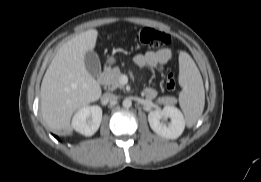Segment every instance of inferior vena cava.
I'll return each mask as SVG.
<instances>
[{
	"mask_svg": "<svg viewBox=\"0 0 261 182\" xmlns=\"http://www.w3.org/2000/svg\"><path fill=\"white\" fill-rule=\"evenodd\" d=\"M101 100L106 103L114 102L117 100V96L112 93H105L102 95Z\"/></svg>",
	"mask_w": 261,
	"mask_h": 182,
	"instance_id": "602c4592",
	"label": "inferior vena cava"
}]
</instances>
